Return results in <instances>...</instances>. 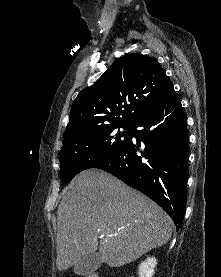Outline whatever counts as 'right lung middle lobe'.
<instances>
[{
  "label": "right lung middle lobe",
  "instance_id": "obj_1",
  "mask_svg": "<svg viewBox=\"0 0 221 277\" xmlns=\"http://www.w3.org/2000/svg\"><path fill=\"white\" fill-rule=\"evenodd\" d=\"M132 131V125H103L65 140L61 151V181L69 182L79 172L92 168L126 146L131 141Z\"/></svg>",
  "mask_w": 221,
  "mask_h": 277
}]
</instances>
